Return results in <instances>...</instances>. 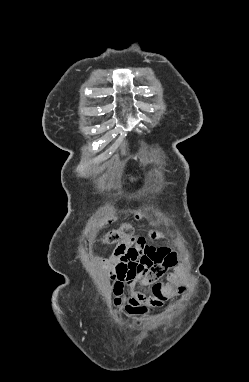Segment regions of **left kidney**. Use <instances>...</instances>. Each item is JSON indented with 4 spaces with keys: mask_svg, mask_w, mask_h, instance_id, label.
Wrapping results in <instances>:
<instances>
[{
    "mask_svg": "<svg viewBox=\"0 0 249 382\" xmlns=\"http://www.w3.org/2000/svg\"><path fill=\"white\" fill-rule=\"evenodd\" d=\"M182 297H183L182 291H175L174 294L170 295V300L171 301H180Z\"/></svg>",
    "mask_w": 249,
    "mask_h": 382,
    "instance_id": "5707ae66",
    "label": "left kidney"
}]
</instances>
